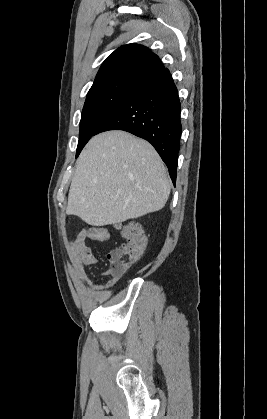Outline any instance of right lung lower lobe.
Masks as SVG:
<instances>
[{
	"mask_svg": "<svg viewBox=\"0 0 267 419\" xmlns=\"http://www.w3.org/2000/svg\"><path fill=\"white\" fill-rule=\"evenodd\" d=\"M177 88L167 68H163L122 102L98 127L95 135L123 130L149 141L176 182L182 126Z\"/></svg>",
	"mask_w": 267,
	"mask_h": 419,
	"instance_id": "right-lung-lower-lobe-1",
	"label": "right lung lower lobe"
}]
</instances>
